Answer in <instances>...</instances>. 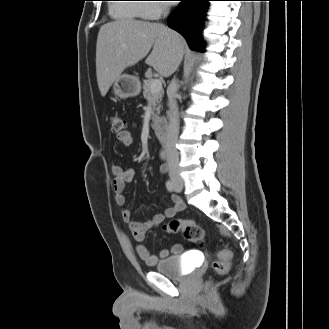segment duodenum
Segmentation results:
<instances>
[{
    "label": "duodenum",
    "instance_id": "410a0bca",
    "mask_svg": "<svg viewBox=\"0 0 329 329\" xmlns=\"http://www.w3.org/2000/svg\"><path fill=\"white\" fill-rule=\"evenodd\" d=\"M152 128L158 140L166 145L168 142L166 121L163 118H157L153 121Z\"/></svg>",
    "mask_w": 329,
    "mask_h": 329
}]
</instances>
